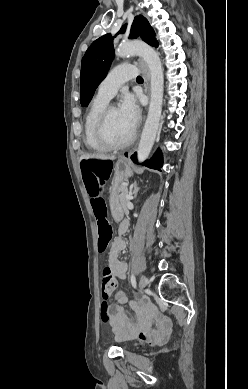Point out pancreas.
Returning <instances> with one entry per match:
<instances>
[{"label": "pancreas", "instance_id": "obj_1", "mask_svg": "<svg viewBox=\"0 0 248 389\" xmlns=\"http://www.w3.org/2000/svg\"><path fill=\"white\" fill-rule=\"evenodd\" d=\"M114 188L119 193V199L124 213L128 214L127 203L129 202V199L126 197L128 194L127 187L124 184H120Z\"/></svg>", "mask_w": 248, "mask_h": 389}]
</instances>
